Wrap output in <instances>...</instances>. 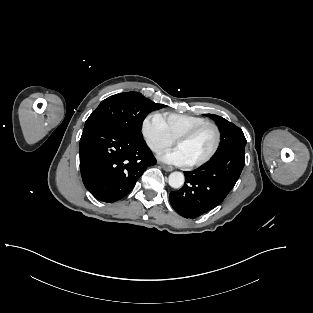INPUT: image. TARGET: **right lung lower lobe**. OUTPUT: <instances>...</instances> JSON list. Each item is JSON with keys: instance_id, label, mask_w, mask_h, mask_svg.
Returning <instances> with one entry per match:
<instances>
[{"instance_id": "right-lung-lower-lobe-1", "label": "right lung lower lobe", "mask_w": 313, "mask_h": 313, "mask_svg": "<svg viewBox=\"0 0 313 313\" xmlns=\"http://www.w3.org/2000/svg\"><path fill=\"white\" fill-rule=\"evenodd\" d=\"M79 154L85 187L104 202H115L126 196L147 167L156 164L143 138L110 124L83 130Z\"/></svg>"}]
</instances>
